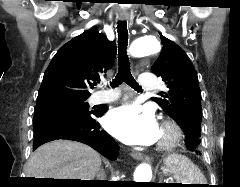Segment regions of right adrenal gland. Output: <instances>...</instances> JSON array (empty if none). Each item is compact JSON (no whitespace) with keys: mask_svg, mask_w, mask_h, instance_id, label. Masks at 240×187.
Listing matches in <instances>:
<instances>
[{"mask_svg":"<svg viewBox=\"0 0 240 187\" xmlns=\"http://www.w3.org/2000/svg\"><path fill=\"white\" fill-rule=\"evenodd\" d=\"M100 174H101L102 176H105V172H104L103 169L100 170Z\"/></svg>","mask_w":240,"mask_h":187,"instance_id":"2a0ac1e0","label":"right adrenal gland"}]
</instances>
